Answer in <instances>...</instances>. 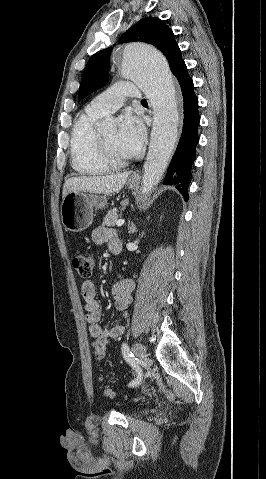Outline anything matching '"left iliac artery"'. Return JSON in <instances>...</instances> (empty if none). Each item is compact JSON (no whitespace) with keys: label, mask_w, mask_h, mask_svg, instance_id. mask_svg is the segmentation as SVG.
I'll list each match as a JSON object with an SVG mask.
<instances>
[{"label":"left iliac artery","mask_w":266,"mask_h":479,"mask_svg":"<svg viewBox=\"0 0 266 479\" xmlns=\"http://www.w3.org/2000/svg\"><path fill=\"white\" fill-rule=\"evenodd\" d=\"M121 350L125 360L133 367V370L135 372H138L137 378L129 383V386L134 387L144 379L143 367L141 366V363L139 361H136V358H134L133 353L130 351L126 343L122 344Z\"/></svg>","instance_id":"44dca946"}]
</instances>
